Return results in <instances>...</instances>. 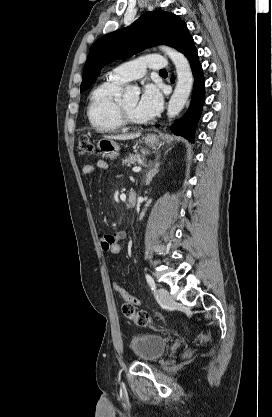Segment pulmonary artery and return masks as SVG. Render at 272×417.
<instances>
[{
  "instance_id": "1",
  "label": "pulmonary artery",
  "mask_w": 272,
  "mask_h": 417,
  "mask_svg": "<svg viewBox=\"0 0 272 417\" xmlns=\"http://www.w3.org/2000/svg\"><path fill=\"white\" fill-rule=\"evenodd\" d=\"M167 66V60L158 54H151L140 57L133 61L124 63L114 68L110 73L109 77L125 84L132 80L141 78L147 69L162 70Z\"/></svg>"
}]
</instances>
